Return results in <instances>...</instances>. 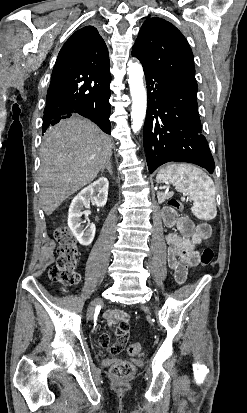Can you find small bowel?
<instances>
[{"label":"small bowel","instance_id":"c3829d8e","mask_svg":"<svg viewBox=\"0 0 247 413\" xmlns=\"http://www.w3.org/2000/svg\"><path fill=\"white\" fill-rule=\"evenodd\" d=\"M163 219L166 227L178 230V232L167 233L166 242L168 244V265L174 273L176 283L181 285L185 283L188 271L199 264L198 248L204 240L210 237L211 228L205 222L193 224L186 217H178L176 212L170 208L164 209ZM104 317L109 326L115 325L114 335L118 340L114 342L111 352L119 354L120 349L128 347L131 324L127 321V318L130 316L124 311L107 310ZM96 340L101 349L110 347L107 334H98Z\"/></svg>","mask_w":247,"mask_h":413}]
</instances>
